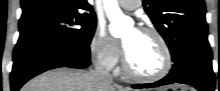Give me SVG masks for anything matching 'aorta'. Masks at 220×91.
<instances>
[{
  "label": "aorta",
  "mask_w": 220,
  "mask_h": 91,
  "mask_svg": "<svg viewBox=\"0 0 220 91\" xmlns=\"http://www.w3.org/2000/svg\"><path fill=\"white\" fill-rule=\"evenodd\" d=\"M104 8L110 21V33L120 37L127 26L132 25L131 20L124 16L118 6L117 0H104Z\"/></svg>",
  "instance_id": "1"
}]
</instances>
